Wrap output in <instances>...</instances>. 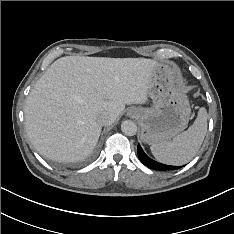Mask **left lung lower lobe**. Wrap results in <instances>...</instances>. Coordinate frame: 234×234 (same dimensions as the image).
<instances>
[{
	"label": "left lung lower lobe",
	"instance_id": "obj_1",
	"mask_svg": "<svg viewBox=\"0 0 234 234\" xmlns=\"http://www.w3.org/2000/svg\"><path fill=\"white\" fill-rule=\"evenodd\" d=\"M138 157L140 161L149 168L157 169V170H176L181 168V166H169L165 164L158 163L152 159H150L142 150L141 146L138 145L137 150Z\"/></svg>",
	"mask_w": 234,
	"mask_h": 234
}]
</instances>
